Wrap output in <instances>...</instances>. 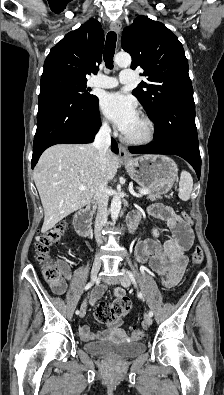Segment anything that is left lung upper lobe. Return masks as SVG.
Returning a JSON list of instances; mask_svg holds the SVG:
<instances>
[{"label": "left lung upper lobe", "mask_w": 224, "mask_h": 395, "mask_svg": "<svg viewBox=\"0 0 224 395\" xmlns=\"http://www.w3.org/2000/svg\"><path fill=\"white\" fill-rule=\"evenodd\" d=\"M122 48L132 56V69L137 66L144 69L146 81H142L132 93L149 118L166 104L193 100L183 46L165 25L139 15L123 32Z\"/></svg>", "instance_id": "obj_1"}]
</instances>
